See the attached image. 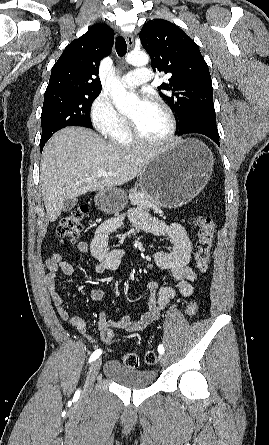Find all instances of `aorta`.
Returning <instances> with one entry per match:
<instances>
[{
    "label": "aorta",
    "instance_id": "aorta-1",
    "mask_svg": "<svg viewBox=\"0 0 269 445\" xmlns=\"http://www.w3.org/2000/svg\"><path fill=\"white\" fill-rule=\"evenodd\" d=\"M126 62L134 66H145L149 62V56L144 52L132 51L126 56ZM111 95L116 109L121 113L128 112L139 102L138 97L128 92L118 78L112 81Z\"/></svg>",
    "mask_w": 269,
    "mask_h": 445
}]
</instances>
